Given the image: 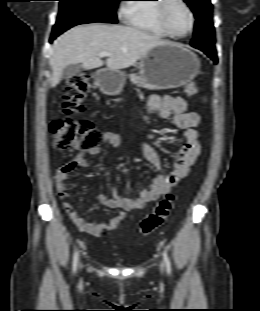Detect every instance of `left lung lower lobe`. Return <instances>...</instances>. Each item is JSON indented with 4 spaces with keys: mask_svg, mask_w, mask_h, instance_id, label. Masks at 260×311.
Returning a JSON list of instances; mask_svg holds the SVG:
<instances>
[{
    "mask_svg": "<svg viewBox=\"0 0 260 311\" xmlns=\"http://www.w3.org/2000/svg\"><path fill=\"white\" fill-rule=\"evenodd\" d=\"M195 48L200 49L205 54H207L214 61L215 64L218 62L215 48H206L203 46H195Z\"/></svg>",
    "mask_w": 260,
    "mask_h": 311,
    "instance_id": "1",
    "label": "left lung lower lobe"
}]
</instances>
